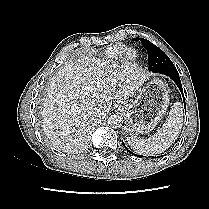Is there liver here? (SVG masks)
Returning a JSON list of instances; mask_svg holds the SVG:
<instances>
[{
  "instance_id": "1",
  "label": "liver",
  "mask_w": 209,
  "mask_h": 209,
  "mask_svg": "<svg viewBox=\"0 0 209 209\" xmlns=\"http://www.w3.org/2000/svg\"><path fill=\"white\" fill-rule=\"evenodd\" d=\"M147 80L135 64L84 57L60 68L46 88L43 130L55 148L69 154L86 151L91 123L104 117L113 100L133 96Z\"/></svg>"
}]
</instances>
